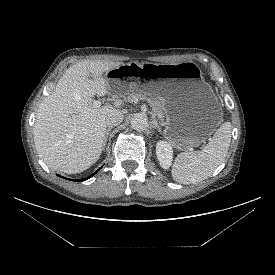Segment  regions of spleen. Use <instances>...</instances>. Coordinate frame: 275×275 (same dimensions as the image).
Instances as JSON below:
<instances>
[{
	"mask_svg": "<svg viewBox=\"0 0 275 275\" xmlns=\"http://www.w3.org/2000/svg\"><path fill=\"white\" fill-rule=\"evenodd\" d=\"M231 123L224 122L200 151L180 153L173 164V179L194 184L210 177L224 161L231 142Z\"/></svg>",
	"mask_w": 275,
	"mask_h": 275,
	"instance_id": "3e777b00",
	"label": "spleen"
}]
</instances>
